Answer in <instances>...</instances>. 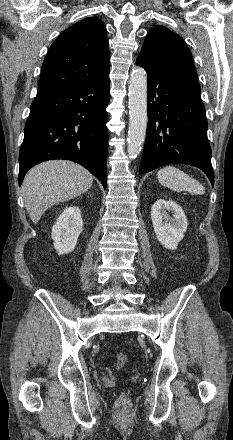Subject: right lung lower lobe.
Returning a JSON list of instances; mask_svg holds the SVG:
<instances>
[{
	"mask_svg": "<svg viewBox=\"0 0 233 440\" xmlns=\"http://www.w3.org/2000/svg\"><path fill=\"white\" fill-rule=\"evenodd\" d=\"M109 73L77 86L38 92L19 153V185L26 172L50 159L79 163L106 188Z\"/></svg>",
	"mask_w": 233,
	"mask_h": 440,
	"instance_id": "98d812e1",
	"label": "right lung lower lobe"
}]
</instances>
